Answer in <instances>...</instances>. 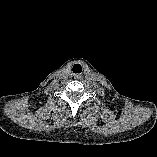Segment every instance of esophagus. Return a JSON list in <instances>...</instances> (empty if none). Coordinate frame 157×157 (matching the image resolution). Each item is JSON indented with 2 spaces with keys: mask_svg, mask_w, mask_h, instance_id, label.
<instances>
[{
  "mask_svg": "<svg viewBox=\"0 0 157 157\" xmlns=\"http://www.w3.org/2000/svg\"><path fill=\"white\" fill-rule=\"evenodd\" d=\"M75 78H79V75H76Z\"/></svg>",
  "mask_w": 157,
  "mask_h": 157,
  "instance_id": "esophagus-1",
  "label": "esophagus"
}]
</instances>
